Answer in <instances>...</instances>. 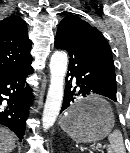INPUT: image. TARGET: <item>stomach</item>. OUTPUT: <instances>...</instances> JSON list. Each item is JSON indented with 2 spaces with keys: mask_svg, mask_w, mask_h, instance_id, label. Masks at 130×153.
I'll return each mask as SVG.
<instances>
[{
  "mask_svg": "<svg viewBox=\"0 0 130 153\" xmlns=\"http://www.w3.org/2000/svg\"><path fill=\"white\" fill-rule=\"evenodd\" d=\"M110 105L99 97H86L73 105L61 118L62 129L75 141L90 143L103 139L114 126Z\"/></svg>",
  "mask_w": 130,
  "mask_h": 153,
  "instance_id": "stomach-1",
  "label": "stomach"
}]
</instances>
